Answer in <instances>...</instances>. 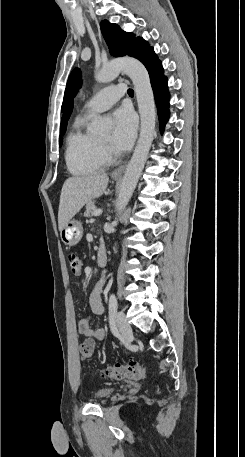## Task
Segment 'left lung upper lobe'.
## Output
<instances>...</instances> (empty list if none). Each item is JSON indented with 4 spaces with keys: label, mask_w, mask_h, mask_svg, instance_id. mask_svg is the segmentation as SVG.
Wrapping results in <instances>:
<instances>
[{
    "label": "left lung upper lobe",
    "mask_w": 245,
    "mask_h": 457,
    "mask_svg": "<svg viewBox=\"0 0 245 457\" xmlns=\"http://www.w3.org/2000/svg\"><path fill=\"white\" fill-rule=\"evenodd\" d=\"M102 34L109 47L110 53L115 57L132 56L142 60L146 55L153 51V48L142 38H135L134 34L123 31L117 24H112L103 20L100 24ZM82 85L81 72L75 68L67 81L64 93L62 111L66 108L71 98Z\"/></svg>",
    "instance_id": "1"
}]
</instances>
